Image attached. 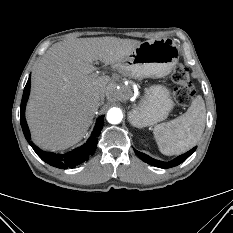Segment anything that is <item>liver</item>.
<instances>
[{
	"mask_svg": "<svg viewBox=\"0 0 233 233\" xmlns=\"http://www.w3.org/2000/svg\"><path fill=\"white\" fill-rule=\"evenodd\" d=\"M141 42L117 37L69 39L53 44L37 64L26 119L36 145L64 150L86 134L111 78L92 77L94 61L113 65Z\"/></svg>",
	"mask_w": 233,
	"mask_h": 233,
	"instance_id": "6515ba94",
	"label": "liver"
}]
</instances>
